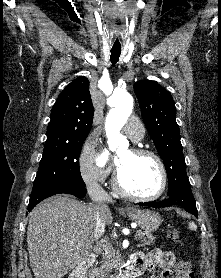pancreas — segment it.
<instances>
[{
  "label": "pancreas",
  "instance_id": "pancreas-1",
  "mask_svg": "<svg viewBox=\"0 0 221 278\" xmlns=\"http://www.w3.org/2000/svg\"><path fill=\"white\" fill-rule=\"evenodd\" d=\"M136 239H139L143 245H152L155 241L154 235L149 232L137 231ZM122 258L111 246H107L103 253L101 265L95 267L93 274L96 278H108L113 268H119L122 265Z\"/></svg>",
  "mask_w": 221,
  "mask_h": 278
}]
</instances>
